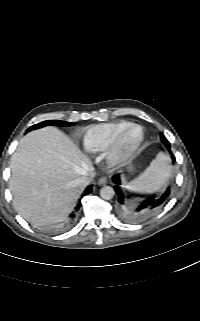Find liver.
<instances>
[{"mask_svg": "<svg viewBox=\"0 0 200 321\" xmlns=\"http://www.w3.org/2000/svg\"><path fill=\"white\" fill-rule=\"evenodd\" d=\"M93 175L90 159L60 130L26 134L11 158L10 190L17 212L35 226L63 220L83 189L76 180Z\"/></svg>", "mask_w": 200, "mask_h": 321, "instance_id": "obj_1", "label": "liver"}]
</instances>
